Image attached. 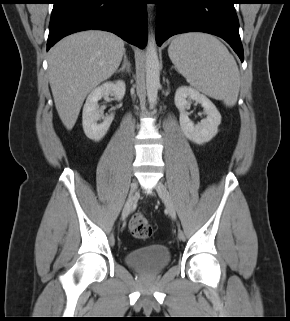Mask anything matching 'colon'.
Masks as SVG:
<instances>
[{
	"label": "colon",
	"mask_w": 290,
	"mask_h": 321,
	"mask_svg": "<svg viewBox=\"0 0 290 321\" xmlns=\"http://www.w3.org/2000/svg\"><path fill=\"white\" fill-rule=\"evenodd\" d=\"M129 231L134 238L147 239L152 235V227L142 214H134L129 221Z\"/></svg>",
	"instance_id": "obj_1"
}]
</instances>
